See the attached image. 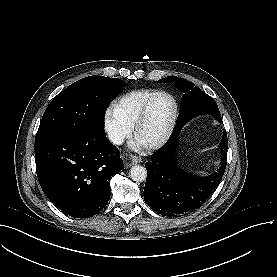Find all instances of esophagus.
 <instances>
[{"label": "esophagus", "instance_id": "esophagus-1", "mask_svg": "<svg viewBox=\"0 0 277 277\" xmlns=\"http://www.w3.org/2000/svg\"><path fill=\"white\" fill-rule=\"evenodd\" d=\"M131 160H132V162H131L132 165L142 162L141 158L136 155H132Z\"/></svg>", "mask_w": 277, "mask_h": 277}]
</instances>
